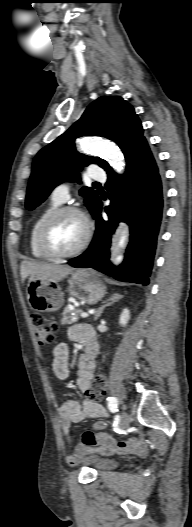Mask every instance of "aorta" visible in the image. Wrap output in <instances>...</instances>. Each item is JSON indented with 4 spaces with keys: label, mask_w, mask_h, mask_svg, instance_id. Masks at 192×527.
Returning a JSON list of instances; mask_svg holds the SVG:
<instances>
[{
    "label": "aorta",
    "mask_w": 192,
    "mask_h": 527,
    "mask_svg": "<svg viewBox=\"0 0 192 527\" xmlns=\"http://www.w3.org/2000/svg\"><path fill=\"white\" fill-rule=\"evenodd\" d=\"M83 148L88 153L102 156L117 172L122 171L124 158L119 148L113 143L98 138H88L83 142Z\"/></svg>",
    "instance_id": "obj_1"
}]
</instances>
